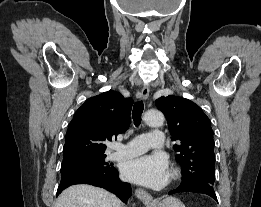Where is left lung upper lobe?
Returning <instances> with one entry per match:
<instances>
[{"instance_id": "left-lung-upper-lobe-1", "label": "left lung upper lobe", "mask_w": 261, "mask_h": 207, "mask_svg": "<svg viewBox=\"0 0 261 207\" xmlns=\"http://www.w3.org/2000/svg\"><path fill=\"white\" fill-rule=\"evenodd\" d=\"M157 108L167 119L176 160L182 165V181H215L213 131L209 118L194 102L169 95L156 100Z\"/></svg>"}]
</instances>
